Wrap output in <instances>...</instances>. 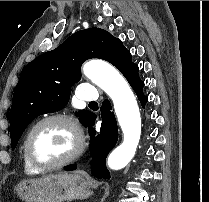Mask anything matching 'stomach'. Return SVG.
Instances as JSON below:
<instances>
[{
	"label": "stomach",
	"instance_id": "0dacf381",
	"mask_svg": "<svg viewBox=\"0 0 209 202\" xmlns=\"http://www.w3.org/2000/svg\"><path fill=\"white\" fill-rule=\"evenodd\" d=\"M16 193L25 202H70L92 195L91 185L79 173L50 174L21 181Z\"/></svg>",
	"mask_w": 209,
	"mask_h": 202
}]
</instances>
